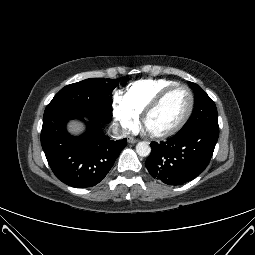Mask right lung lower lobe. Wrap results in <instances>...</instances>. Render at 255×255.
<instances>
[{
  "instance_id": "1",
  "label": "right lung lower lobe",
  "mask_w": 255,
  "mask_h": 255,
  "mask_svg": "<svg viewBox=\"0 0 255 255\" xmlns=\"http://www.w3.org/2000/svg\"><path fill=\"white\" fill-rule=\"evenodd\" d=\"M84 116L90 119L87 131L80 137L69 135L67 121ZM102 123L95 116L76 110L44 113L42 148L53 173L63 183L76 188L92 187L112 168L127 139L110 140L102 131Z\"/></svg>"
}]
</instances>
